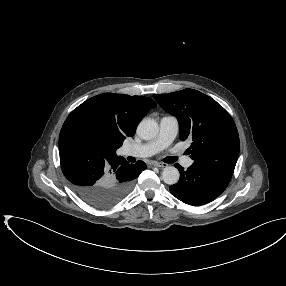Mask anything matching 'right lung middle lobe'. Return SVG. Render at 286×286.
Returning a JSON list of instances; mask_svg holds the SVG:
<instances>
[{
    "mask_svg": "<svg viewBox=\"0 0 286 286\" xmlns=\"http://www.w3.org/2000/svg\"><path fill=\"white\" fill-rule=\"evenodd\" d=\"M86 135H88L90 138H92L94 141H96L97 135L89 128L86 127H79Z\"/></svg>",
    "mask_w": 286,
    "mask_h": 286,
    "instance_id": "1",
    "label": "right lung middle lobe"
}]
</instances>
